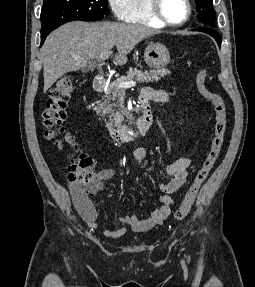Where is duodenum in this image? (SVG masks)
I'll list each match as a JSON object with an SVG mask.
<instances>
[{
	"label": "duodenum",
	"instance_id": "410a0bca",
	"mask_svg": "<svg viewBox=\"0 0 255 287\" xmlns=\"http://www.w3.org/2000/svg\"><path fill=\"white\" fill-rule=\"evenodd\" d=\"M93 87L96 93H101L106 89L107 81L103 78H97L94 81ZM152 97L153 93L148 90H144L139 94V102L143 113L133 126L110 129V134L115 142L126 143L147 134L152 125V113L150 109V100Z\"/></svg>",
	"mask_w": 255,
	"mask_h": 287
}]
</instances>
